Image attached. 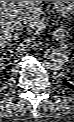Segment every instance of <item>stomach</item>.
Returning <instances> with one entry per match:
<instances>
[{"label":"stomach","instance_id":"stomach-1","mask_svg":"<svg viewBox=\"0 0 74 122\" xmlns=\"http://www.w3.org/2000/svg\"><path fill=\"white\" fill-rule=\"evenodd\" d=\"M56 9L63 15H68L73 12L74 1H53Z\"/></svg>","mask_w":74,"mask_h":122}]
</instances>
